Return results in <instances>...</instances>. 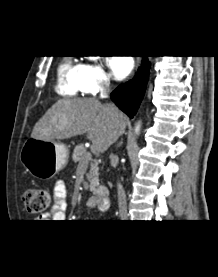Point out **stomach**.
Masks as SVG:
<instances>
[{
    "mask_svg": "<svg viewBox=\"0 0 218 277\" xmlns=\"http://www.w3.org/2000/svg\"><path fill=\"white\" fill-rule=\"evenodd\" d=\"M67 147L58 141L29 138L20 152V161L34 176L47 179L54 176L68 163Z\"/></svg>",
    "mask_w": 218,
    "mask_h": 277,
    "instance_id": "1",
    "label": "stomach"
}]
</instances>
